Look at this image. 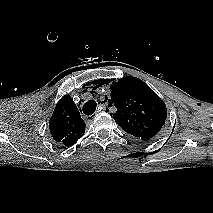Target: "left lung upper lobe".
<instances>
[{
  "mask_svg": "<svg viewBox=\"0 0 213 213\" xmlns=\"http://www.w3.org/2000/svg\"><path fill=\"white\" fill-rule=\"evenodd\" d=\"M108 83L111 80H106ZM110 89L111 97L107 100L117 108L113 114L116 123L125 132L142 141L156 136L167 117L163 100L136 77H124L112 82Z\"/></svg>",
  "mask_w": 213,
  "mask_h": 213,
  "instance_id": "1",
  "label": "left lung upper lobe"
}]
</instances>
